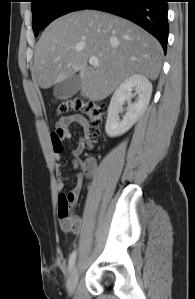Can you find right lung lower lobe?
Here are the masks:
<instances>
[{"instance_id":"1","label":"right lung lower lobe","mask_w":195,"mask_h":299,"mask_svg":"<svg viewBox=\"0 0 195 299\" xmlns=\"http://www.w3.org/2000/svg\"><path fill=\"white\" fill-rule=\"evenodd\" d=\"M168 0H91L84 9L109 12L126 18L151 33L166 53Z\"/></svg>"}]
</instances>
